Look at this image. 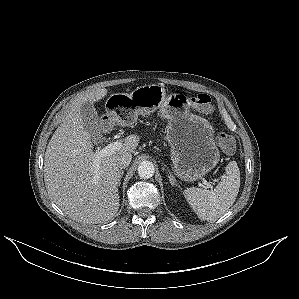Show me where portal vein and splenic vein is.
I'll use <instances>...</instances> for the list:
<instances>
[{
	"label": "portal vein and splenic vein",
	"mask_w": 299,
	"mask_h": 299,
	"mask_svg": "<svg viewBox=\"0 0 299 299\" xmlns=\"http://www.w3.org/2000/svg\"><path fill=\"white\" fill-rule=\"evenodd\" d=\"M122 147V143L116 141L108 144L103 149L96 151L95 153V159L93 160V167L95 171L97 172L99 169V164L102 158L111 156L115 152L119 151ZM202 187L206 188H213L212 183L207 182L206 180H203L202 184H200Z\"/></svg>",
	"instance_id": "1"
}]
</instances>
